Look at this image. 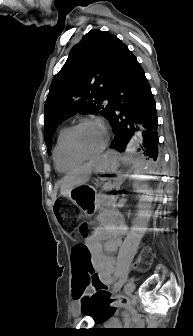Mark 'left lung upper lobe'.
<instances>
[{
	"instance_id": "1",
	"label": "left lung upper lobe",
	"mask_w": 193,
	"mask_h": 336,
	"mask_svg": "<svg viewBox=\"0 0 193 336\" xmlns=\"http://www.w3.org/2000/svg\"><path fill=\"white\" fill-rule=\"evenodd\" d=\"M127 46L116 36L91 30L76 44L51 83L45 102L44 134L48 153L58 125L77 114L109 119L111 90ZM109 98L107 106L103 100Z\"/></svg>"
}]
</instances>
